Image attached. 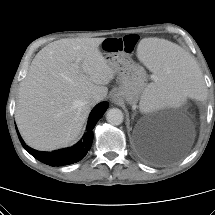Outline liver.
Masks as SVG:
<instances>
[{
  "label": "liver",
  "instance_id": "6515ba94",
  "mask_svg": "<svg viewBox=\"0 0 215 215\" xmlns=\"http://www.w3.org/2000/svg\"><path fill=\"white\" fill-rule=\"evenodd\" d=\"M103 40L61 39L36 54L20 83L15 111L28 146L51 151L78 139L93 106L91 97L105 98L115 75L99 50Z\"/></svg>",
  "mask_w": 215,
  "mask_h": 215
}]
</instances>
